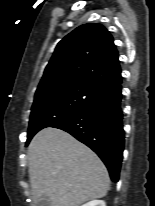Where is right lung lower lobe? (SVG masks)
<instances>
[{
	"label": "right lung lower lobe",
	"mask_w": 155,
	"mask_h": 206,
	"mask_svg": "<svg viewBox=\"0 0 155 206\" xmlns=\"http://www.w3.org/2000/svg\"><path fill=\"white\" fill-rule=\"evenodd\" d=\"M121 90L120 83L78 113L52 126L70 133L97 153L114 182L119 179L125 137Z\"/></svg>",
	"instance_id": "98d812e1"
}]
</instances>
